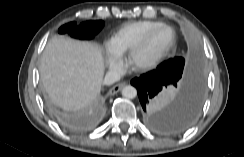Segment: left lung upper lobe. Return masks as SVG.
I'll list each match as a JSON object with an SVG mask.
<instances>
[{
  "instance_id": "1",
  "label": "left lung upper lobe",
  "mask_w": 244,
  "mask_h": 157,
  "mask_svg": "<svg viewBox=\"0 0 244 157\" xmlns=\"http://www.w3.org/2000/svg\"><path fill=\"white\" fill-rule=\"evenodd\" d=\"M182 63L183 64L185 63V61L182 57H175V58L169 59V60L161 63L158 66V68L168 70V69L173 68V67H180V65Z\"/></svg>"
}]
</instances>
